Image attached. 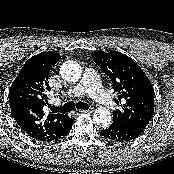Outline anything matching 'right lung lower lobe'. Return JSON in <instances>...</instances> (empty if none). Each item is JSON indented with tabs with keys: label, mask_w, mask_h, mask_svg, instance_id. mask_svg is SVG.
<instances>
[{
	"label": "right lung lower lobe",
	"mask_w": 174,
	"mask_h": 174,
	"mask_svg": "<svg viewBox=\"0 0 174 174\" xmlns=\"http://www.w3.org/2000/svg\"><path fill=\"white\" fill-rule=\"evenodd\" d=\"M69 131H70V130H69ZM69 131H68V132H69ZM68 132H67V133H68ZM67 133H66V134H67ZM66 134H64V135H66ZM64 135H63V136H64ZM61 137H62V136H61Z\"/></svg>",
	"instance_id": "98d812e1"
}]
</instances>
